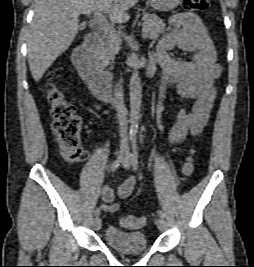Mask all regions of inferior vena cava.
I'll return each mask as SVG.
<instances>
[{"instance_id":"inferior-vena-cava-1","label":"inferior vena cava","mask_w":254,"mask_h":267,"mask_svg":"<svg viewBox=\"0 0 254 267\" xmlns=\"http://www.w3.org/2000/svg\"><path fill=\"white\" fill-rule=\"evenodd\" d=\"M113 106L116 108L118 116L122 120L124 118V110H123L122 100H121L117 87L115 89V99L113 101Z\"/></svg>"}]
</instances>
